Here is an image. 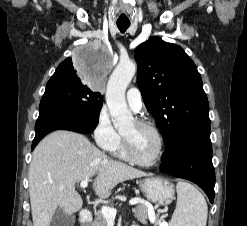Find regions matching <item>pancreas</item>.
Wrapping results in <instances>:
<instances>
[{
	"label": "pancreas",
	"instance_id": "1",
	"mask_svg": "<svg viewBox=\"0 0 247 226\" xmlns=\"http://www.w3.org/2000/svg\"><path fill=\"white\" fill-rule=\"evenodd\" d=\"M134 216L138 221L143 224L147 223V215H148V208L145 204L137 205L133 209ZM161 220L156 218V223H159ZM93 226H107V219L104 217L101 211H97L95 213V219L93 222Z\"/></svg>",
	"mask_w": 247,
	"mask_h": 226
}]
</instances>
